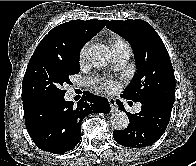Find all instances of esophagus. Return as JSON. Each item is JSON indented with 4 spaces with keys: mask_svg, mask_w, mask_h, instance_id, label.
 <instances>
[{
    "mask_svg": "<svg viewBox=\"0 0 196 166\" xmlns=\"http://www.w3.org/2000/svg\"><path fill=\"white\" fill-rule=\"evenodd\" d=\"M108 101H109V104H110V107H111V111H112V112L116 111L117 108H118V106H117V104H116L115 99L112 98V97H110V98L108 99Z\"/></svg>",
    "mask_w": 196,
    "mask_h": 166,
    "instance_id": "1",
    "label": "esophagus"
}]
</instances>
